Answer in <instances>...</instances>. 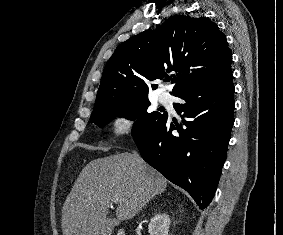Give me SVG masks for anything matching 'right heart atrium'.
Masks as SVG:
<instances>
[{"label":"right heart atrium","instance_id":"d8ad5b80","mask_svg":"<svg viewBox=\"0 0 283 235\" xmlns=\"http://www.w3.org/2000/svg\"><path fill=\"white\" fill-rule=\"evenodd\" d=\"M133 126V118L128 113H120L113 119L112 129L115 138H119L128 133Z\"/></svg>","mask_w":283,"mask_h":235}]
</instances>
